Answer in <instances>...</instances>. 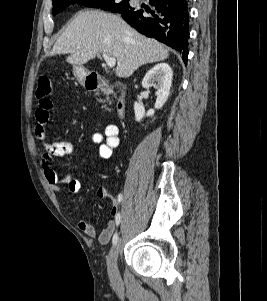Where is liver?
Segmentation results:
<instances>
[{
    "instance_id": "6515ba94",
    "label": "liver",
    "mask_w": 267,
    "mask_h": 301,
    "mask_svg": "<svg viewBox=\"0 0 267 301\" xmlns=\"http://www.w3.org/2000/svg\"><path fill=\"white\" fill-rule=\"evenodd\" d=\"M100 53L117 60L116 75L120 78H128L140 66L169 56L161 43L141 35L119 15L99 10L79 12L51 50V55L70 54L66 61L77 67Z\"/></svg>"
}]
</instances>
